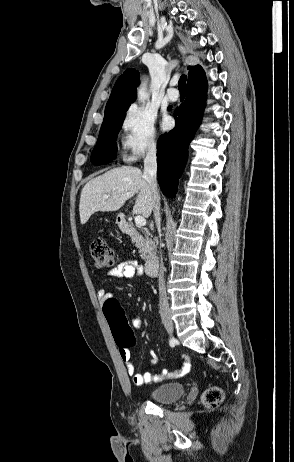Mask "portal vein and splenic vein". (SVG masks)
I'll return each mask as SVG.
<instances>
[{
    "label": "portal vein and splenic vein",
    "instance_id": "obj_1",
    "mask_svg": "<svg viewBox=\"0 0 294 462\" xmlns=\"http://www.w3.org/2000/svg\"><path fill=\"white\" fill-rule=\"evenodd\" d=\"M108 195H104V198H108ZM135 224L139 227H144L146 225V219L143 216H135Z\"/></svg>",
    "mask_w": 294,
    "mask_h": 462
}]
</instances>
